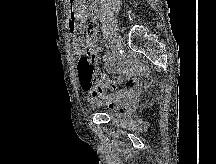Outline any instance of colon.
<instances>
[{"mask_svg":"<svg viewBox=\"0 0 216 164\" xmlns=\"http://www.w3.org/2000/svg\"><path fill=\"white\" fill-rule=\"evenodd\" d=\"M74 48L75 50L82 52L84 44L80 40H75ZM78 76L82 89L88 92L97 89L104 77L94 65L93 60L87 56L80 57L78 61Z\"/></svg>","mask_w":216,"mask_h":164,"instance_id":"5ec220e1","label":"colon"}]
</instances>
